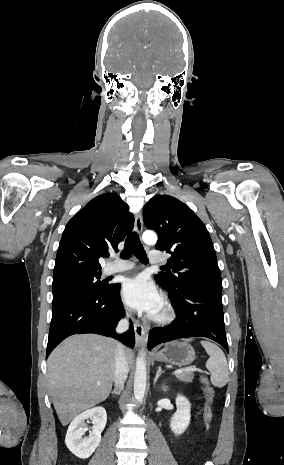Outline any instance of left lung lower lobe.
<instances>
[{"mask_svg": "<svg viewBox=\"0 0 284 465\" xmlns=\"http://www.w3.org/2000/svg\"><path fill=\"white\" fill-rule=\"evenodd\" d=\"M169 294L177 319L168 328L150 331L149 349L180 338L203 336L218 342L228 352L221 292L201 287H185L178 294Z\"/></svg>", "mask_w": 284, "mask_h": 465, "instance_id": "obj_1", "label": "left lung lower lobe"}]
</instances>
